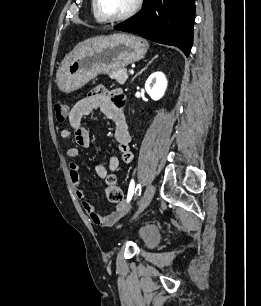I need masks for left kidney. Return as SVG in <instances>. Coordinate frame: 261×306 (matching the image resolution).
I'll return each mask as SVG.
<instances>
[{
  "label": "left kidney",
  "mask_w": 261,
  "mask_h": 306,
  "mask_svg": "<svg viewBox=\"0 0 261 306\" xmlns=\"http://www.w3.org/2000/svg\"><path fill=\"white\" fill-rule=\"evenodd\" d=\"M167 89V79L162 72H155L145 83V90L155 101L161 99Z\"/></svg>",
  "instance_id": "obj_1"
}]
</instances>
